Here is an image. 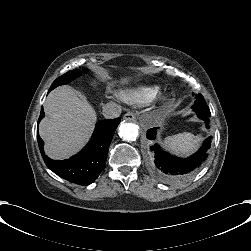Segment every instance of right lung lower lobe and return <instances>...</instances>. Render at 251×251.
I'll return each instance as SVG.
<instances>
[{"mask_svg": "<svg viewBox=\"0 0 251 251\" xmlns=\"http://www.w3.org/2000/svg\"><path fill=\"white\" fill-rule=\"evenodd\" d=\"M44 117L43 107L40 120ZM120 123V118L106 119L96 124L93 136L86 147L75 156L66 160H52L45 155L43 140L37 131V141L43 160L47 167L61 178L78 185L94 182L106 166L109 144Z\"/></svg>", "mask_w": 251, "mask_h": 251, "instance_id": "98d812e1", "label": "right lung lower lobe"}]
</instances>
